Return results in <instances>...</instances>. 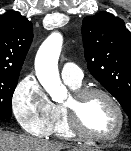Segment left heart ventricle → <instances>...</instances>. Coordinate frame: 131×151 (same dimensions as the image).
Wrapping results in <instances>:
<instances>
[{"label":"left heart ventricle","mask_w":131,"mask_h":151,"mask_svg":"<svg viewBox=\"0 0 131 151\" xmlns=\"http://www.w3.org/2000/svg\"><path fill=\"white\" fill-rule=\"evenodd\" d=\"M82 120L87 131L101 137L114 134L119 124L118 115L113 105L99 95L86 101L82 111Z\"/></svg>","instance_id":"obj_1"}]
</instances>
